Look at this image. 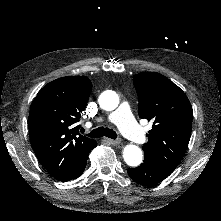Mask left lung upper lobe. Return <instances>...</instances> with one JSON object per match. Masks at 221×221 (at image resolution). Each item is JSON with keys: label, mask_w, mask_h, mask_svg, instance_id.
Here are the masks:
<instances>
[{"label": "left lung upper lobe", "mask_w": 221, "mask_h": 221, "mask_svg": "<svg viewBox=\"0 0 221 221\" xmlns=\"http://www.w3.org/2000/svg\"><path fill=\"white\" fill-rule=\"evenodd\" d=\"M139 116L153 121L142 147L144 156L172 173L183 158L191 136L193 110L185 93L165 76L150 72L134 75Z\"/></svg>", "instance_id": "5c2ea615"}]
</instances>
